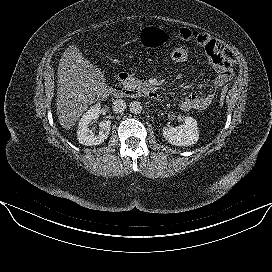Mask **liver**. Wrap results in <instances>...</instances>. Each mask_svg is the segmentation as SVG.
<instances>
[{
  "mask_svg": "<svg viewBox=\"0 0 272 272\" xmlns=\"http://www.w3.org/2000/svg\"><path fill=\"white\" fill-rule=\"evenodd\" d=\"M57 77V115L66 130L75 125L89 105L107 98L111 90L102 71L85 59L75 45L63 53Z\"/></svg>",
  "mask_w": 272,
  "mask_h": 272,
  "instance_id": "1",
  "label": "liver"
}]
</instances>
